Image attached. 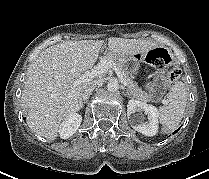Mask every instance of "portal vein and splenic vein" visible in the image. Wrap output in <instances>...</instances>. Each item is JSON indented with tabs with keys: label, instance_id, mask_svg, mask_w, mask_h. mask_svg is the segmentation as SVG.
Here are the masks:
<instances>
[{
	"label": "portal vein and splenic vein",
	"instance_id": "1",
	"mask_svg": "<svg viewBox=\"0 0 209 179\" xmlns=\"http://www.w3.org/2000/svg\"><path fill=\"white\" fill-rule=\"evenodd\" d=\"M113 69L117 74L120 81L127 86L125 79L123 78L120 70L117 68L116 64L111 60H104L97 64L92 70H87L85 73L76 80V83H83L89 80L94 79L95 77L105 73L109 69ZM165 102V101H164Z\"/></svg>",
	"mask_w": 209,
	"mask_h": 179
}]
</instances>
